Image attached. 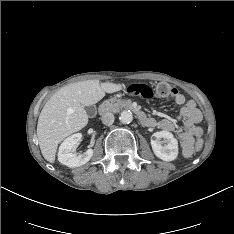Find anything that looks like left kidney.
I'll return each instance as SVG.
<instances>
[{
    "instance_id": "left-kidney-1",
    "label": "left kidney",
    "mask_w": 234,
    "mask_h": 234,
    "mask_svg": "<svg viewBox=\"0 0 234 234\" xmlns=\"http://www.w3.org/2000/svg\"><path fill=\"white\" fill-rule=\"evenodd\" d=\"M151 146L154 154L163 161H173L178 156V141L168 131L155 132L151 138Z\"/></svg>"
}]
</instances>
